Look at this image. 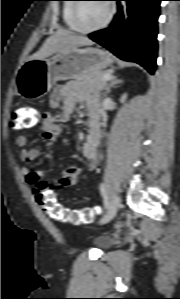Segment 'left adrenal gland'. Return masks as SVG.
Here are the masks:
<instances>
[{"label": "left adrenal gland", "mask_w": 180, "mask_h": 299, "mask_svg": "<svg viewBox=\"0 0 180 299\" xmlns=\"http://www.w3.org/2000/svg\"><path fill=\"white\" fill-rule=\"evenodd\" d=\"M123 80L118 79L117 77H113L112 80L110 81L108 87H107V94L110 93L111 88L117 87L118 84H122Z\"/></svg>", "instance_id": "left-adrenal-gland-1"}]
</instances>
